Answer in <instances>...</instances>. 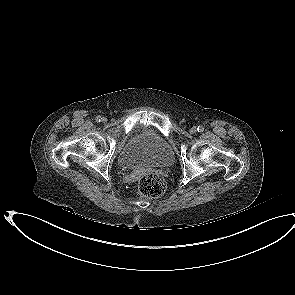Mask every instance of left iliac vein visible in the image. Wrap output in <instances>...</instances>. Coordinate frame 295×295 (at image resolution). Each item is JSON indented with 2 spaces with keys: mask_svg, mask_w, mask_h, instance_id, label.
Listing matches in <instances>:
<instances>
[{
  "mask_svg": "<svg viewBox=\"0 0 295 295\" xmlns=\"http://www.w3.org/2000/svg\"><path fill=\"white\" fill-rule=\"evenodd\" d=\"M196 132H197V128H196V127H192V128L190 129V133L194 134V133H196Z\"/></svg>",
  "mask_w": 295,
  "mask_h": 295,
  "instance_id": "left-iliac-vein-1",
  "label": "left iliac vein"
}]
</instances>
